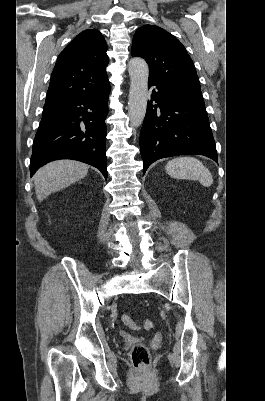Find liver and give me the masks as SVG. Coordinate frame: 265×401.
I'll list each match as a JSON object with an SVG mask.
<instances>
[{
	"instance_id": "6515ba94",
	"label": "liver",
	"mask_w": 265,
	"mask_h": 401,
	"mask_svg": "<svg viewBox=\"0 0 265 401\" xmlns=\"http://www.w3.org/2000/svg\"><path fill=\"white\" fill-rule=\"evenodd\" d=\"M88 172V164L78 160H54L37 170L33 176L35 192L39 203L51 192L66 188L72 182L84 178Z\"/></svg>"
}]
</instances>
